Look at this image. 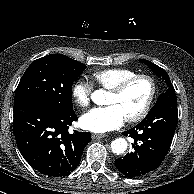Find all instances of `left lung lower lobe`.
<instances>
[{
    "instance_id": "left-lung-lower-lobe-1",
    "label": "left lung lower lobe",
    "mask_w": 194,
    "mask_h": 194,
    "mask_svg": "<svg viewBox=\"0 0 194 194\" xmlns=\"http://www.w3.org/2000/svg\"><path fill=\"white\" fill-rule=\"evenodd\" d=\"M177 120V99L155 104L138 125L122 133L134 139V151L115 160L117 169L128 178L157 169L169 151Z\"/></svg>"
}]
</instances>
